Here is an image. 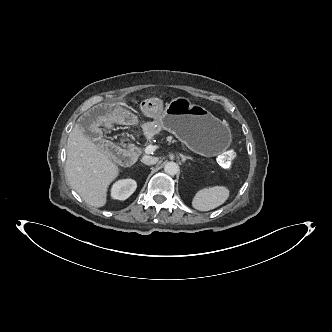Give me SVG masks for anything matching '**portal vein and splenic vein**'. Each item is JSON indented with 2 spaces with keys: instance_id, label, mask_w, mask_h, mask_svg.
<instances>
[{
  "instance_id": "1",
  "label": "portal vein and splenic vein",
  "mask_w": 332,
  "mask_h": 332,
  "mask_svg": "<svg viewBox=\"0 0 332 332\" xmlns=\"http://www.w3.org/2000/svg\"><path fill=\"white\" fill-rule=\"evenodd\" d=\"M158 148H159V146H157V145H148L145 148V153L150 154Z\"/></svg>"
}]
</instances>
